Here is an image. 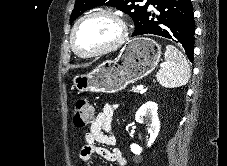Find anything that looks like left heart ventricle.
Returning a JSON list of instances; mask_svg holds the SVG:
<instances>
[{"label": "left heart ventricle", "mask_w": 227, "mask_h": 166, "mask_svg": "<svg viewBox=\"0 0 227 166\" xmlns=\"http://www.w3.org/2000/svg\"><path fill=\"white\" fill-rule=\"evenodd\" d=\"M120 36L119 25L111 18L95 16L78 27L75 43L82 52H92L114 43Z\"/></svg>", "instance_id": "obj_1"}]
</instances>
